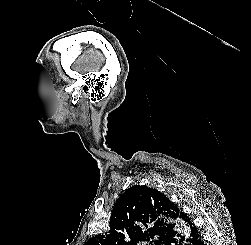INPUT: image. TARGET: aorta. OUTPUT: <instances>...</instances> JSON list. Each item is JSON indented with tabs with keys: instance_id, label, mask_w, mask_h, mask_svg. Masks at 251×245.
<instances>
[{
	"instance_id": "1",
	"label": "aorta",
	"mask_w": 251,
	"mask_h": 245,
	"mask_svg": "<svg viewBox=\"0 0 251 245\" xmlns=\"http://www.w3.org/2000/svg\"><path fill=\"white\" fill-rule=\"evenodd\" d=\"M184 226H185V225H184V223H182V222L176 223V227H177L178 229H181V230L186 229V227H184Z\"/></svg>"
}]
</instances>
